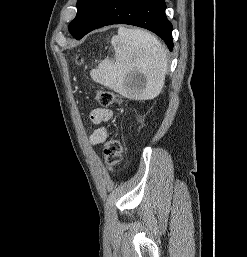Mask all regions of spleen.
Returning <instances> with one entry per match:
<instances>
[{"label": "spleen", "instance_id": "obj_1", "mask_svg": "<svg viewBox=\"0 0 247 257\" xmlns=\"http://www.w3.org/2000/svg\"><path fill=\"white\" fill-rule=\"evenodd\" d=\"M115 62L105 59L90 72L94 81L132 99H153L164 86L167 72L166 51L158 39L147 31L119 27L112 37ZM140 73L143 88L132 92L128 80Z\"/></svg>", "mask_w": 247, "mask_h": 257}]
</instances>
